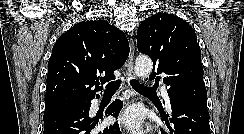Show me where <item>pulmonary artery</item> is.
Wrapping results in <instances>:
<instances>
[{"label":"pulmonary artery","instance_id":"1","mask_svg":"<svg viewBox=\"0 0 244 134\" xmlns=\"http://www.w3.org/2000/svg\"><path fill=\"white\" fill-rule=\"evenodd\" d=\"M158 90L162 93V96L165 99L166 107H167L168 111H171L170 100H169L166 88L164 86L160 85V86H158Z\"/></svg>","mask_w":244,"mask_h":134}]
</instances>
